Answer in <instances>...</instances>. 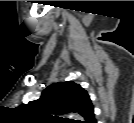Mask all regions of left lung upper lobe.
<instances>
[{
    "label": "left lung upper lobe",
    "mask_w": 134,
    "mask_h": 123,
    "mask_svg": "<svg viewBox=\"0 0 134 123\" xmlns=\"http://www.w3.org/2000/svg\"><path fill=\"white\" fill-rule=\"evenodd\" d=\"M24 108L27 112L45 119L73 122L52 114L77 112L84 117L86 123L95 121L94 108L87 91L72 81L48 86L38 100L29 102Z\"/></svg>",
    "instance_id": "1"
}]
</instances>
